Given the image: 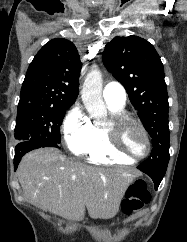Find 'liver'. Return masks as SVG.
Masks as SVG:
<instances>
[{
  "label": "liver",
  "instance_id": "liver-1",
  "mask_svg": "<svg viewBox=\"0 0 187 242\" xmlns=\"http://www.w3.org/2000/svg\"><path fill=\"white\" fill-rule=\"evenodd\" d=\"M24 197L39 208L82 221L85 207L93 219H110L139 172L97 168L68 159L59 150L42 148L26 154L17 170Z\"/></svg>",
  "mask_w": 187,
  "mask_h": 242
}]
</instances>
